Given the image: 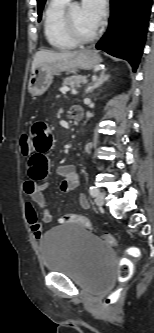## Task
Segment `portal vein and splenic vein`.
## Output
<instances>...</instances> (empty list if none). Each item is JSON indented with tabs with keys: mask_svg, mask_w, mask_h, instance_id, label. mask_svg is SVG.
<instances>
[{
	"mask_svg": "<svg viewBox=\"0 0 154 333\" xmlns=\"http://www.w3.org/2000/svg\"><path fill=\"white\" fill-rule=\"evenodd\" d=\"M69 90H70V89L67 88V87L61 89L62 92H66V91H69ZM72 92L76 93V91L73 90V89H72Z\"/></svg>",
	"mask_w": 154,
	"mask_h": 333,
	"instance_id": "18ae733b",
	"label": "portal vein and splenic vein"
}]
</instances>
